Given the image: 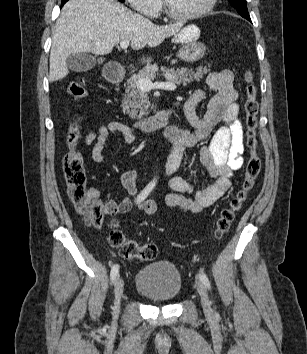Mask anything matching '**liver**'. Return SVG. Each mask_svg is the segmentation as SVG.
Wrapping results in <instances>:
<instances>
[{
	"mask_svg": "<svg viewBox=\"0 0 307 354\" xmlns=\"http://www.w3.org/2000/svg\"><path fill=\"white\" fill-rule=\"evenodd\" d=\"M183 23L157 26L116 0H69L56 22L50 52L51 82L69 73L66 60L73 53L106 55L121 41L134 50L156 47L182 28ZM144 62H150L151 58Z\"/></svg>",
	"mask_w": 307,
	"mask_h": 354,
	"instance_id": "obj_1",
	"label": "liver"
}]
</instances>
